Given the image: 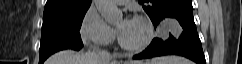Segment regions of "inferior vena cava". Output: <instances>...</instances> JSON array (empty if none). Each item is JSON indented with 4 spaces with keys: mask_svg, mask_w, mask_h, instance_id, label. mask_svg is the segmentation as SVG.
I'll return each mask as SVG.
<instances>
[{
    "mask_svg": "<svg viewBox=\"0 0 242 64\" xmlns=\"http://www.w3.org/2000/svg\"><path fill=\"white\" fill-rule=\"evenodd\" d=\"M97 56L104 64H108L111 60V55L106 50H99Z\"/></svg>",
    "mask_w": 242,
    "mask_h": 64,
    "instance_id": "1",
    "label": "inferior vena cava"
}]
</instances>
